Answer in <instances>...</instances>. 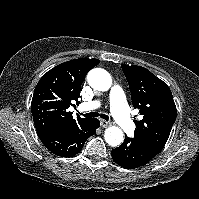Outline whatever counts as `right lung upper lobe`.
Listing matches in <instances>:
<instances>
[{
  "instance_id": "obj_1",
  "label": "right lung upper lobe",
  "mask_w": 199,
  "mask_h": 199,
  "mask_svg": "<svg viewBox=\"0 0 199 199\" xmlns=\"http://www.w3.org/2000/svg\"><path fill=\"white\" fill-rule=\"evenodd\" d=\"M98 59L80 58L59 64L45 73L33 94L31 110L37 133L47 130H71L86 124L91 118L72 117L68 111L79 103L80 87L86 74Z\"/></svg>"
}]
</instances>
